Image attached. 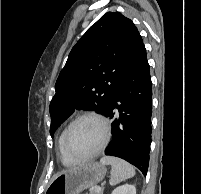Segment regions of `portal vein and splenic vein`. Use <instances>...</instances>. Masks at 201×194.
I'll return each mask as SVG.
<instances>
[{
  "mask_svg": "<svg viewBox=\"0 0 201 194\" xmlns=\"http://www.w3.org/2000/svg\"><path fill=\"white\" fill-rule=\"evenodd\" d=\"M100 190H101L100 186H97V187L95 188V192H99Z\"/></svg>",
  "mask_w": 201,
  "mask_h": 194,
  "instance_id": "18ae733b",
  "label": "portal vein and splenic vein"
}]
</instances>
